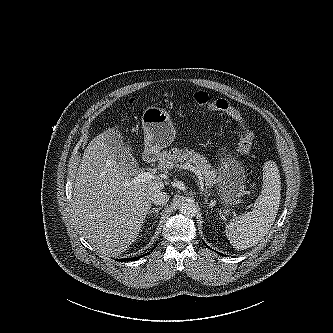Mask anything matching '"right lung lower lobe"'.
I'll return each mask as SVG.
<instances>
[{
    "instance_id": "right-lung-lower-lobe-1",
    "label": "right lung lower lobe",
    "mask_w": 333,
    "mask_h": 333,
    "mask_svg": "<svg viewBox=\"0 0 333 333\" xmlns=\"http://www.w3.org/2000/svg\"><path fill=\"white\" fill-rule=\"evenodd\" d=\"M148 253H146L145 255H147ZM145 255H142L141 257H143V256H145ZM141 257H134V258H126V259H117V261H121V262H124V261H135V260H137V259H139V258H141Z\"/></svg>"
}]
</instances>
